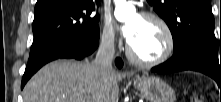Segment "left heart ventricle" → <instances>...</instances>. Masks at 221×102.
Returning <instances> with one entry per match:
<instances>
[{
    "mask_svg": "<svg viewBox=\"0 0 221 102\" xmlns=\"http://www.w3.org/2000/svg\"><path fill=\"white\" fill-rule=\"evenodd\" d=\"M129 24L136 26V34L130 45L140 58L153 60L164 52L166 38L157 23L139 16H133L129 20Z\"/></svg>",
    "mask_w": 221,
    "mask_h": 102,
    "instance_id": "b2bd125f",
    "label": "left heart ventricle"
}]
</instances>
